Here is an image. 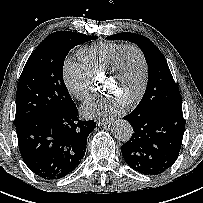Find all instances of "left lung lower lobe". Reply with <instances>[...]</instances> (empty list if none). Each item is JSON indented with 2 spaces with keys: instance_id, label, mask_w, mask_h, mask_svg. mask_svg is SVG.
Returning <instances> with one entry per match:
<instances>
[{
  "instance_id": "1",
  "label": "left lung lower lobe",
  "mask_w": 203,
  "mask_h": 203,
  "mask_svg": "<svg viewBox=\"0 0 203 203\" xmlns=\"http://www.w3.org/2000/svg\"><path fill=\"white\" fill-rule=\"evenodd\" d=\"M124 119L132 125L134 133L122 145L121 151L133 170L145 175H159L174 164L185 130L182 109L150 113L134 110Z\"/></svg>"
}]
</instances>
